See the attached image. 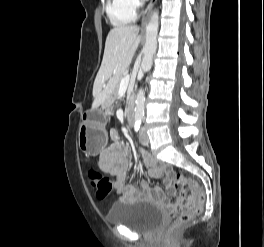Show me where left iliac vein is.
<instances>
[{
  "label": "left iliac vein",
  "mask_w": 264,
  "mask_h": 247,
  "mask_svg": "<svg viewBox=\"0 0 264 247\" xmlns=\"http://www.w3.org/2000/svg\"><path fill=\"white\" fill-rule=\"evenodd\" d=\"M139 140H140L141 144H143V145H148L149 144V139H148V135L146 133L145 128H142L140 130Z\"/></svg>",
  "instance_id": "obj_1"
}]
</instances>
